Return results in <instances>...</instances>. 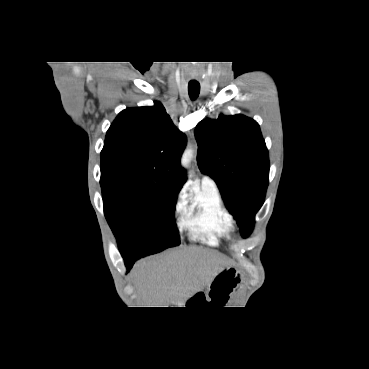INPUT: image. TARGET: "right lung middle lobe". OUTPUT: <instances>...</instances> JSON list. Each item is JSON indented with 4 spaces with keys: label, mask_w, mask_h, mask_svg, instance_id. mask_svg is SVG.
<instances>
[{
    "label": "right lung middle lobe",
    "mask_w": 369,
    "mask_h": 369,
    "mask_svg": "<svg viewBox=\"0 0 369 369\" xmlns=\"http://www.w3.org/2000/svg\"><path fill=\"white\" fill-rule=\"evenodd\" d=\"M100 184L105 217L124 259L180 244L174 222L176 192L119 172H101Z\"/></svg>",
    "instance_id": "right-lung-middle-lobe-1"
}]
</instances>
